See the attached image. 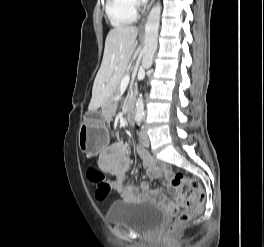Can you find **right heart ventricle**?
Returning a JSON list of instances; mask_svg holds the SVG:
<instances>
[{
  "mask_svg": "<svg viewBox=\"0 0 264 247\" xmlns=\"http://www.w3.org/2000/svg\"><path fill=\"white\" fill-rule=\"evenodd\" d=\"M106 13L115 27L131 24L137 18L136 11L128 7L126 0H107Z\"/></svg>",
  "mask_w": 264,
  "mask_h": 247,
  "instance_id": "right-heart-ventricle-1",
  "label": "right heart ventricle"
}]
</instances>
